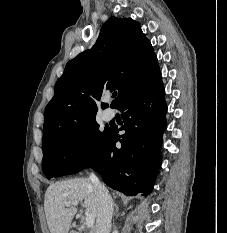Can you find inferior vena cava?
Wrapping results in <instances>:
<instances>
[{
	"label": "inferior vena cava",
	"mask_w": 227,
	"mask_h": 233,
	"mask_svg": "<svg viewBox=\"0 0 227 233\" xmlns=\"http://www.w3.org/2000/svg\"><path fill=\"white\" fill-rule=\"evenodd\" d=\"M90 180L94 186L98 199V215L95 233H110L113 214V201L107 188L101 184L94 173L90 174Z\"/></svg>",
	"instance_id": "602c4592"
}]
</instances>
